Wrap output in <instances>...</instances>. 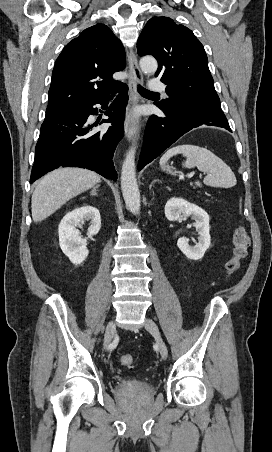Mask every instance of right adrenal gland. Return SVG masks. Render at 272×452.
<instances>
[{
	"instance_id": "obj_1",
	"label": "right adrenal gland",
	"mask_w": 272,
	"mask_h": 452,
	"mask_svg": "<svg viewBox=\"0 0 272 452\" xmlns=\"http://www.w3.org/2000/svg\"><path fill=\"white\" fill-rule=\"evenodd\" d=\"M99 185L93 187L92 191H91V195H97V189H98Z\"/></svg>"
}]
</instances>
